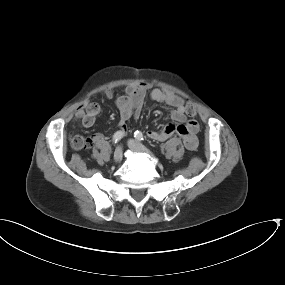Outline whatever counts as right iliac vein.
Segmentation results:
<instances>
[{"mask_svg": "<svg viewBox=\"0 0 285 285\" xmlns=\"http://www.w3.org/2000/svg\"><path fill=\"white\" fill-rule=\"evenodd\" d=\"M122 158H123L122 147L118 146L114 152V161L120 162V161H122Z\"/></svg>", "mask_w": 285, "mask_h": 285, "instance_id": "63e3f726", "label": "right iliac vein"}]
</instances>
